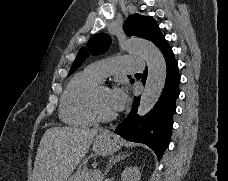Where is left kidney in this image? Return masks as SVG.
<instances>
[{"label": "left kidney", "instance_id": "obj_1", "mask_svg": "<svg viewBox=\"0 0 228 181\" xmlns=\"http://www.w3.org/2000/svg\"><path fill=\"white\" fill-rule=\"evenodd\" d=\"M139 167H126L121 175V181H140Z\"/></svg>", "mask_w": 228, "mask_h": 181}]
</instances>
